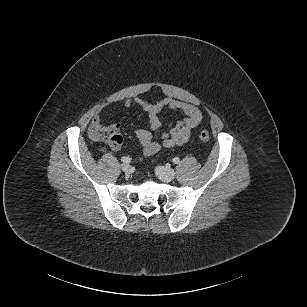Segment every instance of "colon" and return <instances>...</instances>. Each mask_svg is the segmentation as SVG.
Segmentation results:
<instances>
[{
    "label": "colon",
    "mask_w": 307,
    "mask_h": 307,
    "mask_svg": "<svg viewBox=\"0 0 307 307\" xmlns=\"http://www.w3.org/2000/svg\"><path fill=\"white\" fill-rule=\"evenodd\" d=\"M199 139L202 142H208L210 140V135L207 130H201L199 132ZM123 138L118 132H112L108 138V143L111 148L119 149L122 145Z\"/></svg>",
    "instance_id": "5ec220e1"
}]
</instances>
